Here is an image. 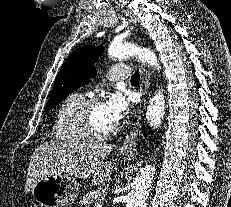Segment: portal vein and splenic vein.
I'll return each instance as SVG.
<instances>
[{
    "instance_id": "1",
    "label": "portal vein and splenic vein",
    "mask_w": 231,
    "mask_h": 207,
    "mask_svg": "<svg viewBox=\"0 0 231 207\" xmlns=\"http://www.w3.org/2000/svg\"><path fill=\"white\" fill-rule=\"evenodd\" d=\"M102 206V204L101 203H95V207H101Z\"/></svg>"
}]
</instances>
